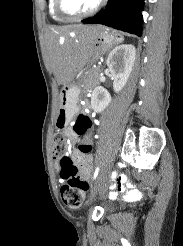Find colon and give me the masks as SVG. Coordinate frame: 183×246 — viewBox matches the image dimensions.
Wrapping results in <instances>:
<instances>
[{
	"mask_svg": "<svg viewBox=\"0 0 183 246\" xmlns=\"http://www.w3.org/2000/svg\"><path fill=\"white\" fill-rule=\"evenodd\" d=\"M64 116L58 120L59 125H63ZM73 131L86 138H93L96 135V126L93 125L89 116L81 114L73 124ZM94 148L88 143H79L78 152L86 157H95ZM53 156L56 162V168L62 181L60 194L64 204L72 209L79 208L83 203V193L88 190L87 179L82 176L73 160L68 155V146L64 136L56 133L53 137Z\"/></svg>",
	"mask_w": 183,
	"mask_h": 246,
	"instance_id": "5ec220e1",
	"label": "colon"
}]
</instances>
